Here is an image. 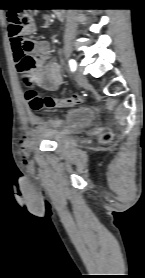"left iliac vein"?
I'll return each mask as SVG.
<instances>
[{"label": "left iliac vein", "instance_id": "obj_1", "mask_svg": "<svg viewBox=\"0 0 145 278\" xmlns=\"http://www.w3.org/2000/svg\"><path fill=\"white\" fill-rule=\"evenodd\" d=\"M74 78L79 83H85L87 81L86 75L84 74V71L82 68H79L74 73Z\"/></svg>", "mask_w": 145, "mask_h": 278}]
</instances>
